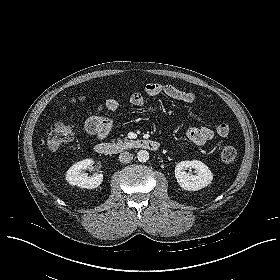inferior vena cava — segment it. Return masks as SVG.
<instances>
[{"label": "inferior vena cava", "mask_w": 280, "mask_h": 280, "mask_svg": "<svg viewBox=\"0 0 280 280\" xmlns=\"http://www.w3.org/2000/svg\"><path fill=\"white\" fill-rule=\"evenodd\" d=\"M132 159H133V154L127 151L122 152L119 155V160L121 163H130Z\"/></svg>", "instance_id": "1"}]
</instances>
